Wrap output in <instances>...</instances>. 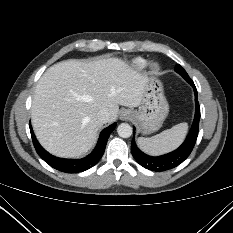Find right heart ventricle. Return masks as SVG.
Wrapping results in <instances>:
<instances>
[{
  "label": "right heart ventricle",
  "mask_w": 233,
  "mask_h": 233,
  "mask_svg": "<svg viewBox=\"0 0 233 233\" xmlns=\"http://www.w3.org/2000/svg\"><path fill=\"white\" fill-rule=\"evenodd\" d=\"M146 65V61L142 58H136L134 61H133V66L136 68V69H143Z\"/></svg>",
  "instance_id": "obj_1"
}]
</instances>
